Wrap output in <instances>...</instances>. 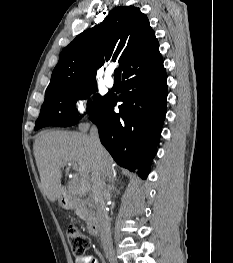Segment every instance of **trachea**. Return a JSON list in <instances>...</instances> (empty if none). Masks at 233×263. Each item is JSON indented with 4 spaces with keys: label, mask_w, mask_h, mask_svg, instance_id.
Segmentation results:
<instances>
[{
    "label": "trachea",
    "mask_w": 233,
    "mask_h": 263,
    "mask_svg": "<svg viewBox=\"0 0 233 263\" xmlns=\"http://www.w3.org/2000/svg\"><path fill=\"white\" fill-rule=\"evenodd\" d=\"M114 77L115 79H120L121 78V69L117 68L114 72Z\"/></svg>",
    "instance_id": "1"
}]
</instances>
